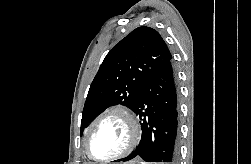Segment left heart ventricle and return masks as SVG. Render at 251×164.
<instances>
[{
    "instance_id": "b2bd125f",
    "label": "left heart ventricle",
    "mask_w": 251,
    "mask_h": 164,
    "mask_svg": "<svg viewBox=\"0 0 251 164\" xmlns=\"http://www.w3.org/2000/svg\"><path fill=\"white\" fill-rule=\"evenodd\" d=\"M129 140L126 122L117 115L103 119L90 139V152L96 158H107L121 152Z\"/></svg>"
}]
</instances>
